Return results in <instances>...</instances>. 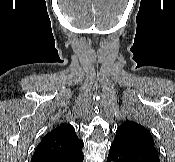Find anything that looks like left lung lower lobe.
Returning <instances> with one entry per match:
<instances>
[{
    "mask_svg": "<svg viewBox=\"0 0 175 162\" xmlns=\"http://www.w3.org/2000/svg\"><path fill=\"white\" fill-rule=\"evenodd\" d=\"M107 160L114 162H160L154 145L129 143L115 138Z\"/></svg>",
    "mask_w": 175,
    "mask_h": 162,
    "instance_id": "1",
    "label": "left lung lower lobe"
}]
</instances>
